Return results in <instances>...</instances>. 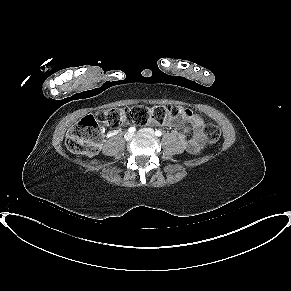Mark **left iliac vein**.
<instances>
[{"label": "left iliac vein", "instance_id": "left-iliac-vein-1", "mask_svg": "<svg viewBox=\"0 0 291 291\" xmlns=\"http://www.w3.org/2000/svg\"><path fill=\"white\" fill-rule=\"evenodd\" d=\"M139 133H146V134L154 135V131L151 128H143L139 130Z\"/></svg>", "mask_w": 291, "mask_h": 291}]
</instances>
